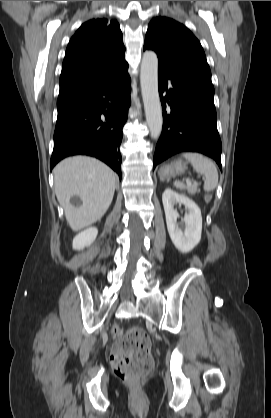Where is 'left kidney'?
<instances>
[{"instance_id": "obj_1", "label": "left kidney", "mask_w": 271, "mask_h": 418, "mask_svg": "<svg viewBox=\"0 0 271 418\" xmlns=\"http://www.w3.org/2000/svg\"><path fill=\"white\" fill-rule=\"evenodd\" d=\"M167 229L175 247L182 253L190 252L201 239L202 216L200 208L190 198L178 194L170 188L165 189L162 195ZM179 203L185 206L188 213L185 214L183 222L186 225L184 230L180 229L177 223L178 212L174 204Z\"/></svg>"}]
</instances>
